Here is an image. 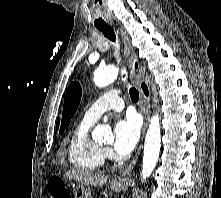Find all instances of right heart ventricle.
<instances>
[{
	"mask_svg": "<svg viewBox=\"0 0 221 198\" xmlns=\"http://www.w3.org/2000/svg\"><path fill=\"white\" fill-rule=\"evenodd\" d=\"M92 124L82 120L73 130L68 141V161L79 170H98L103 166L106 158L104 149L89 137Z\"/></svg>",
	"mask_w": 221,
	"mask_h": 198,
	"instance_id": "e07e8e85",
	"label": "right heart ventricle"
}]
</instances>
